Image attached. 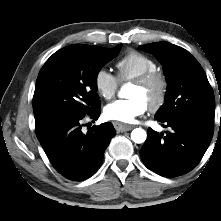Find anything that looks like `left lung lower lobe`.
<instances>
[{
  "label": "left lung lower lobe",
  "instance_id": "1",
  "mask_svg": "<svg viewBox=\"0 0 221 221\" xmlns=\"http://www.w3.org/2000/svg\"><path fill=\"white\" fill-rule=\"evenodd\" d=\"M158 121L167 124L173 132H166V136H163L162 133L148 130L140 151L144 165L165 177L188 173L206 152L213 136V126L189 116Z\"/></svg>",
  "mask_w": 221,
  "mask_h": 221
}]
</instances>
